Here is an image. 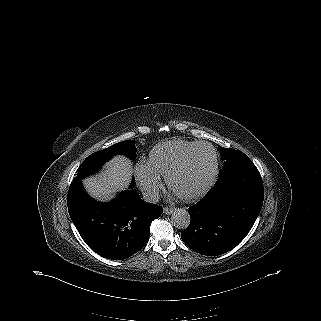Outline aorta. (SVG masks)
<instances>
[{
  "label": "aorta",
  "mask_w": 321,
  "mask_h": 321,
  "mask_svg": "<svg viewBox=\"0 0 321 321\" xmlns=\"http://www.w3.org/2000/svg\"><path fill=\"white\" fill-rule=\"evenodd\" d=\"M171 221L174 227L186 229L190 224L191 217L185 209H177L172 214Z\"/></svg>",
  "instance_id": "1"
}]
</instances>
